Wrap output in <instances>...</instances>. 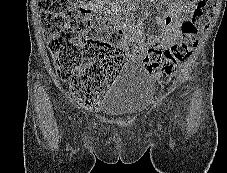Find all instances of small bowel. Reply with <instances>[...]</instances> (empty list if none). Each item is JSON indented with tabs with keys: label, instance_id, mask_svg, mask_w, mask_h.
<instances>
[{
	"label": "small bowel",
	"instance_id": "1",
	"mask_svg": "<svg viewBox=\"0 0 227 173\" xmlns=\"http://www.w3.org/2000/svg\"><path fill=\"white\" fill-rule=\"evenodd\" d=\"M167 6L165 12L157 17L161 26L160 35L151 36L148 40L150 45L169 47L176 42L180 35L181 22L189 17L194 11L198 0H161ZM122 41L117 49L132 58H139L129 53L132 43H138L145 50L144 30L140 22H133L130 18L124 17L122 20L121 31Z\"/></svg>",
	"mask_w": 227,
	"mask_h": 173
}]
</instances>
